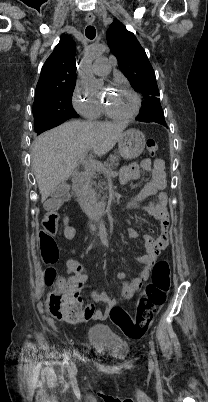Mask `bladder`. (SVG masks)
<instances>
[{"mask_svg":"<svg viewBox=\"0 0 208 402\" xmlns=\"http://www.w3.org/2000/svg\"><path fill=\"white\" fill-rule=\"evenodd\" d=\"M87 344L97 352L105 351L109 359L126 358L128 344L113 333L110 326L93 325L88 328Z\"/></svg>","mask_w":208,"mask_h":402,"instance_id":"31cf9c89","label":"bladder"}]
</instances>
